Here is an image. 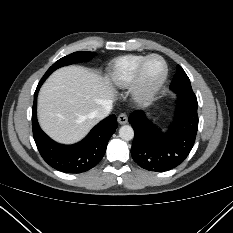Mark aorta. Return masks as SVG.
I'll use <instances>...</instances> for the list:
<instances>
[{
    "mask_svg": "<svg viewBox=\"0 0 233 233\" xmlns=\"http://www.w3.org/2000/svg\"><path fill=\"white\" fill-rule=\"evenodd\" d=\"M119 136L125 141H129L134 137V130L129 125H124L119 129Z\"/></svg>",
    "mask_w": 233,
    "mask_h": 233,
    "instance_id": "aorta-1",
    "label": "aorta"
}]
</instances>
